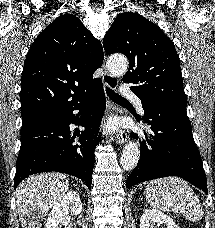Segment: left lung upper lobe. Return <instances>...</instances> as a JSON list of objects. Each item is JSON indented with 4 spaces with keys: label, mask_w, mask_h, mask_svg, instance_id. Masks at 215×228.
Here are the masks:
<instances>
[{
    "label": "left lung upper lobe",
    "mask_w": 215,
    "mask_h": 228,
    "mask_svg": "<svg viewBox=\"0 0 215 228\" xmlns=\"http://www.w3.org/2000/svg\"><path fill=\"white\" fill-rule=\"evenodd\" d=\"M106 53H123L129 70L123 82L142 104H187L173 42L154 23L134 12L120 14L103 38Z\"/></svg>",
    "instance_id": "1"
}]
</instances>
